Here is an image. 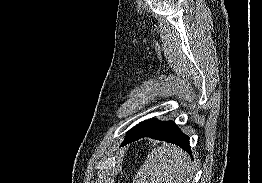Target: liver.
<instances>
[{
    "label": "liver",
    "mask_w": 262,
    "mask_h": 183,
    "mask_svg": "<svg viewBox=\"0 0 262 183\" xmlns=\"http://www.w3.org/2000/svg\"><path fill=\"white\" fill-rule=\"evenodd\" d=\"M192 178L193 168L186 152L163 143L148 154L133 183H190Z\"/></svg>",
    "instance_id": "6515ba94"
}]
</instances>
